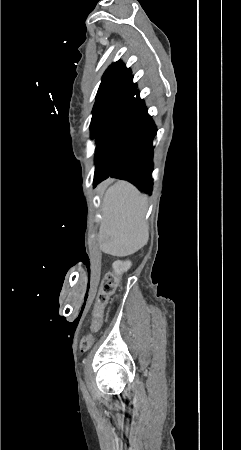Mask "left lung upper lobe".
<instances>
[{
    "label": "left lung upper lobe",
    "instance_id": "1",
    "mask_svg": "<svg viewBox=\"0 0 241 450\" xmlns=\"http://www.w3.org/2000/svg\"><path fill=\"white\" fill-rule=\"evenodd\" d=\"M124 67L125 66L121 61H117L111 64L105 71L96 95L91 125L100 111L111 103L122 89L125 83Z\"/></svg>",
    "mask_w": 241,
    "mask_h": 450
}]
</instances>
